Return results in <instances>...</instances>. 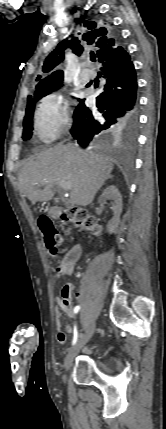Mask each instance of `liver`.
<instances>
[{"instance_id": "1", "label": "liver", "mask_w": 166, "mask_h": 429, "mask_svg": "<svg viewBox=\"0 0 166 429\" xmlns=\"http://www.w3.org/2000/svg\"><path fill=\"white\" fill-rule=\"evenodd\" d=\"M112 160L71 145H57L30 158L19 174L20 192L32 204L49 201L53 185L71 182L70 203L89 205L113 170ZM44 186L43 190L37 186Z\"/></svg>"}]
</instances>
